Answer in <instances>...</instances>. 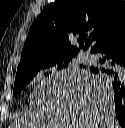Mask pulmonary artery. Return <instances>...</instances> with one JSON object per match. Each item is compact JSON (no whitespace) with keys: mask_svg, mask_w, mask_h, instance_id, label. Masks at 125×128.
I'll return each mask as SVG.
<instances>
[{"mask_svg":"<svg viewBox=\"0 0 125 128\" xmlns=\"http://www.w3.org/2000/svg\"><path fill=\"white\" fill-rule=\"evenodd\" d=\"M82 60H83L84 62H90V61H91V57H90V56H87V55H84V56L82 57Z\"/></svg>","mask_w":125,"mask_h":128,"instance_id":"1","label":"pulmonary artery"}]
</instances>
